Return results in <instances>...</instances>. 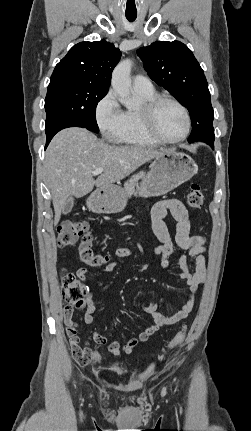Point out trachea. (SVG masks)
Returning <instances> with one entry per match:
<instances>
[{"instance_id":"obj_1","label":"trachea","mask_w":251,"mask_h":431,"mask_svg":"<svg viewBox=\"0 0 251 431\" xmlns=\"http://www.w3.org/2000/svg\"><path fill=\"white\" fill-rule=\"evenodd\" d=\"M137 15L136 14H126V18L128 19V21L133 22L136 19Z\"/></svg>"}]
</instances>
